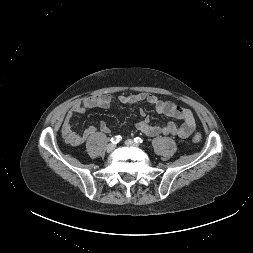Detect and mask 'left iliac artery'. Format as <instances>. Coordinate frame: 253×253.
<instances>
[{
	"mask_svg": "<svg viewBox=\"0 0 253 253\" xmlns=\"http://www.w3.org/2000/svg\"><path fill=\"white\" fill-rule=\"evenodd\" d=\"M134 142H136L137 144H141L144 142V140L141 137H136L134 138Z\"/></svg>",
	"mask_w": 253,
	"mask_h": 253,
	"instance_id": "1",
	"label": "left iliac artery"
}]
</instances>
